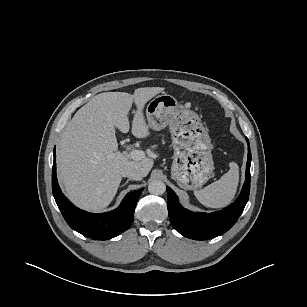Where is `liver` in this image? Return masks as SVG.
<instances>
[{"instance_id":"obj_1","label":"liver","mask_w":307,"mask_h":307,"mask_svg":"<svg viewBox=\"0 0 307 307\" xmlns=\"http://www.w3.org/2000/svg\"><path fill=\"white\" fill-rule=\"evenodd\" d=\"M162 87L138 88L134 94L104 92L81 107L67 124L57 149V171L67 197L78 207L99 212L113 200L121 182V171L132 167L147 176L153 159L129 161L118 150L115 128L130 129L128 113L135 103L132 134L149 136L142 109Z\"/></svg>"}]
</instances>
